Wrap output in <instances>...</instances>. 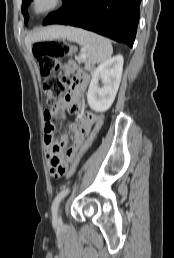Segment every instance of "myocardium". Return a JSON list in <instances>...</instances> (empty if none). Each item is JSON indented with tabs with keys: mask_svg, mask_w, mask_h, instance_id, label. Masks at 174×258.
<instances>
[{
	"mask_svg": "<svg viewBox=\"0 0 174 258\" xmlns=\"http://www.w3.org/2000/svg\"><path fill=\"white\" fill-rule=\"evenodd\" d=\"M65 0H31L29 11L35 16H44L59 10Z\"/></svg>",
	"mask_w": 174,
	"mask_h": 258,
	"instance_id": "1",
	"label": "myocardium"
}]
</instances>
